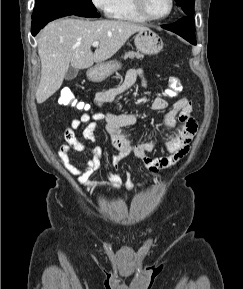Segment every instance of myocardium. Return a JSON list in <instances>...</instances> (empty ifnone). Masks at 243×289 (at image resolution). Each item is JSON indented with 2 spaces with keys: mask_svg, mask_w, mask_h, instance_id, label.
<instances>
[{
  "mask_svg": "<svg viewBox=\"0 0 243 289\" xmlns=\"http://www.w3.org/2000/svg\"><path fill=\"white\" fill-rule=\"evenodd\" d=\"M133 1H134V5H135V8L138 11V13L140 15H142L145 19L150 20V21H159V20L166 19L173 12L174 5H175L174 0H169L170 6H169V10H168V12L166 14H164L162 16H152L147 11L146 0H133Z\"/></svg>",
  "mask_w": 243,
  "mask_h": 289,
  "instance_id": "obj_1",
  "label": "myocardium"
}]
</instances>
